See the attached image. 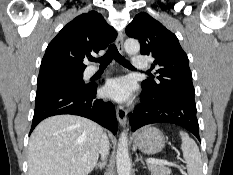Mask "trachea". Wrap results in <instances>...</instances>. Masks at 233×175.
<instances>
[{"label": "trachea", "mask_w": 233, "mask_h": 175, "mask_svg": "<svg viewBox=\"0 0 233 175\" xmlns=\"http://www.w3.org/2000/svg\"><path fill=\"white\" fill-rule=\"evenodd\" d=\"M112 59H115L118 63L122 64L123 66L134 69V67L118 52L117 47L115 44H111L105 53L104 56L100 58H91V61L99 62L100 67H106L110 64Z\"/></svg>", "instance_id": "trachea-1"}]
</instances>
